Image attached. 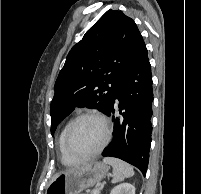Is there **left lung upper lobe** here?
Segmentation results:
<instances>
[{
  "label": "left lung upper lobe",
  "instance_id": "5c2ea615",
  "mask_svg": "<svg viewBox=\"0 0 201 194\" xmlns=\"http://www.w3.org/2000/svg\"><path fill=\"white\" fill-rule=\"evenodd\" d=\"M144 43L132 18L108 10L70 50L55 83L51 133L75 107L106 113Z\"/></svg>",
  "mask_w": 201,
  "mask_h": 194
}]
</instances>
